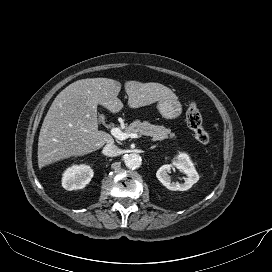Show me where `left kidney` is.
Here are the masks:
<instances>
[{
	"label": "left kidney",
	"mask_w": 272,
	"mask_h": 272,
	"mask_svg": "<svg viewBox=\"0 0 272 272\" xmlns=\"http://www.w3.org/2000/svg\"><path fill=\"white\" fill-rule=\"evenodd\" d=\"M173 166H175L177 169L181 170L187 175L184 183L171 181L169 172ZM156 177L167 189L173 191H186L199 180V175L192 161L185 153H180L179 155H177L172 164H166L161 166L156 173Z\"/></svg>",
	"instance_id": "1"
}]
</instances>
